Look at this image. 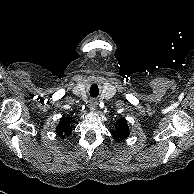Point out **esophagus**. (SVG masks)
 <instances>
[{"label": "esophagus", "mask_w": 194, "mask_h": 194, "mask_svg": "<svg viewBox=\"0 0 194 194\" xmlns=\"http://www.w3.org/2000/svg\"><path fill=\"white\" fill-rule=\"evenodd\" d=\"M97 106V101L95 99L90 100L89 107L91 111H94Z\"/></svg>", "instance_id": "1"}]
</instances>
